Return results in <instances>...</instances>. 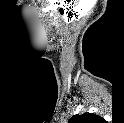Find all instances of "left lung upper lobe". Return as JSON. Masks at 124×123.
I'll return each instance as SVG.
<instances>
[{
  "label": "left lung upper lobe",
  "instance_id": "left-lung-upper-lobe-1",
  "mask_svg": "<svg viewBox=\"0 0 124 123\" xmlns=\"http://www.w3.org/2000/svg\"><path fill=\"white\" fill-rule=\"evenodd\" d=\"M98 119H100V117L94 113L76 114L71 117L69 123H94Z\"/></svg>",
  "mask_w": 124,
  "mask_h": 123
}]
</instances>
